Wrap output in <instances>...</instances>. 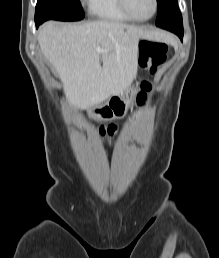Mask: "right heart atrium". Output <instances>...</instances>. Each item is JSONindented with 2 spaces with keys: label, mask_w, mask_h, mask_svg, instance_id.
Segmentation results:
<instances>
[{
  "label": "right heart atrium",
  "mask_w": 219,
  "mask_h": 258,
  "mask_svg": "<svg viewBox=\"0 0 219 258\" xmlns=\"http://www.w3.org/2000/svg\"><path fill=\"white\" fill-rule=\"evenodd\" d=\"M84 4H86L87 6L90 5L92 0H81Z\"/></svg>",
  "instance_id": "obj_1"
}]
</instances>
